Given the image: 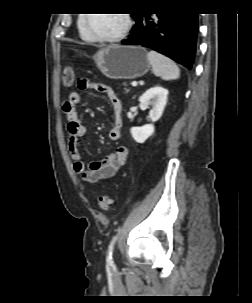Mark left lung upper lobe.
I'll return each mask as SVG.
<instances>
[{
	"instance_id": "1",
	"label": "left lung upper lobe",
	"mask_w": 252,
	"mask_h": 303,
	"mask_svg": "<svg viewBox=\"0 0 252 303\" xmlns=\"http://www.w3.org/2000/svg\"><path fill=\"white\" fill-rule=\"evenodd\" d=\"M139 14H134L133 17L136 19Z\"/></svg>"
}]
</instances>
